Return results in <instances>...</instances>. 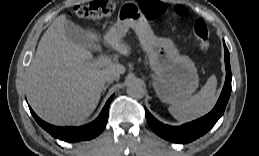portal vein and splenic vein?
Masks as SVG:
<instances>
[{
    "label": "portal vein and splenic vein",
    "instance_id": "portal-vein-and-splenic-vein-1",
    "mask_svg": "<svg viewBox=\"0 0 259 156\" xmlns=\"http://www.w3.org/2000/svg\"><path fill=\"white\" fill-rule=\"evenodd\" d=\"M111 63H112V61L108 56L102 55L98 59H95V60H92L91 62H89V65H91L93 67L102 68V67L107 66Z\"/></svg>",
    "mask_w": 259,
    "mask_h": 156
}]
</instances>
